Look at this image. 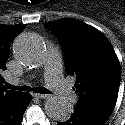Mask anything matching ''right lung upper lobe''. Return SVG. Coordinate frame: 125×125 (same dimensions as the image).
Instances as JSON below:
<instances>
[{
	"instance_id": "1",
	"label": "right lung upper lobe",
	"mask_w": 125,
	"mask_h": 125,
	"mask_svg": "<svg viewBox=\"0 0 125 125\" xmlns=\"http://www.w3.org/2000/svg\"><path fill=\"white\" fill-rule=\"evenodd\" d=\"M26 25H2L0 24V103L9 99L19 92L7 90L5 79L1 76L6 69V62L9 58L10 45L13 38L19 34Z\"/></svg>"
}]
</instances>
